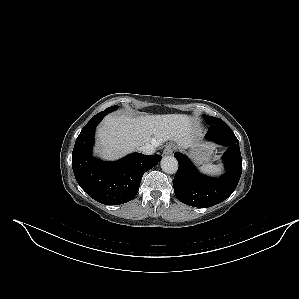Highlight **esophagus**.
Wrapping results in <instances>:
<instances>
[{
  "label": "esophagus",
  "instance_id": "34e87169",
  "mask_svg": "<svg viewBox=\"0 0 299 299\" xmlns=\"http://www.w3.org/2000/svg\"><path fill=\"white\" fill-rule=\"evenodd\" d=\"M175 150V145L174 144H167L163 150V155L167 156V155H172L173 152Z\"/></svg>",
  "mask_w": 299,
  "mask_h": 299
}]
</instances>
